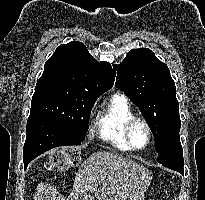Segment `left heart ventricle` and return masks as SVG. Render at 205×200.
I'll use <instances>...</instances> for the list:
<instances>
[{
	"instance_id": "obj_1",
	"label": "left heart ventricle",
	"mask_w": 205,
	"mask_h": 200,
	"mask_svg": "<svg viewBox=\"0 0 205 200\" xmlns=\"http://www.w3.org/2000/svg\"><path fill=\"white\" fill-rule=\"evenodd\" d=\"M132 141L133 144L138 147L142 148L147 144L148 140V133L145 126L141 123L135 124L132 129Z\"/></svg>"
}]
</instances>
